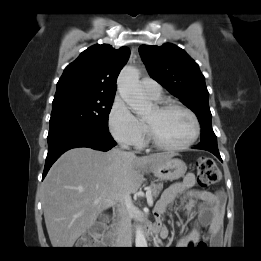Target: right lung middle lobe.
Listing matches in <instances>:
<instances>
[{"instance_id": "1", "label": "right lung middle lobe", "mask_w": 261, "mask_h": 261, "mask_svg": "<svg viewBox=\"0 0 261 261\" xmlns=\"http://www.w3.org/2000/svg\"><path fill=\"white\" fill-rule=\"evenodd\" d=\"M114 96L85 94H55L50 118V130L58 127L87 125L108 129V116Z\"/></svg>"}]
</instances>
